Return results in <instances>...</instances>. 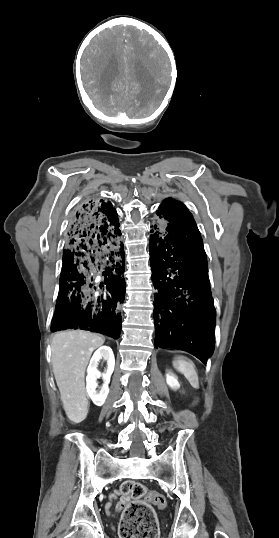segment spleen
<instances>
[{"label":"spleen","mask_w":279,"mask_h":538,"mask_svg":"<svg viewBox=\"0 0 279 538\" xmlns=\"http://www.w3.org/2000/svg\"><path fill=\"white\" fill-rule=\"evenodd\" d=\"M172 364L175 370H178V372L184 374L185 378H187L188 382H190L193 388H198V376L195 372L193 362H186V360H174Z\"/></svg>","instance_id":"1"}]
</instances>
